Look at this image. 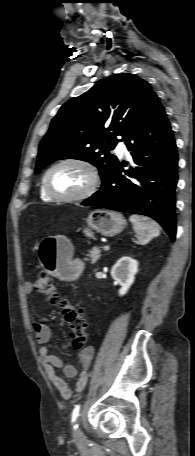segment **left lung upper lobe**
Here are the masks:
<instances>
[{"label": "left lung upper lobe", "mask_w": 195, "mask_h": 456, "mask_svg": "<svg viewBox=\"0 0 195 456\" xmlns=\"http://www.w3.org/2000/svg\"><path fill=\"white\" fill-rule=\"evenodd\" d=\"M157 97L149 83L134 74L102 79L66 102L42 139L35 172L55 160L74 158L99 169L102 181L118 163L110 150L124 140L133 123Z\"/></svg>", "instance_id": "5c2ea615"}]
</instances>
